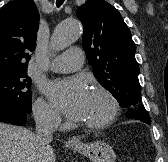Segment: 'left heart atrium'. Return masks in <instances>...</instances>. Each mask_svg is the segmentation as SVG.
<instances>
[{"label": "left heart atrium", "mask_w": 168, "mask_h": 162, "mask_svg": "<svg viewBox=\"0 0 168 162\" xmlns=\"http://www.w3.org/2000/svg\"><path fill=\"white\" fill-rule=\"evenodd\" d=\"M48 94L55 105L70 119L82 120L90 97L85 80L75 77L50 83Z\"/></svg>", "instance_id": "left-heart-atrium-1"}]
</instances>
